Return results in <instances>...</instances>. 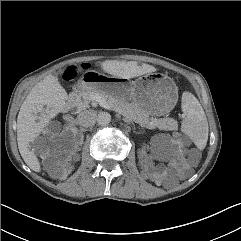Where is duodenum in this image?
Instances as JSON below:
<instances>
[{
    "mask_svg": "<svg viewBox=\"0 0 241 241\" xmlns=\"http://www.w3.org/2000/svg\"><path fill=\"white\" fill-rule=\"evenodd\" d=\"M77 90H78V87L75 86V87H74V90L71 92V98H70L71 104L74 102V100H75V98H76V96H77Z\"/></svg>",
    "mask_w": 241,
    "mask_h": 241,
    "instance_id": "410a0bca",
    "label": "duodenum"
}]
</instances>
